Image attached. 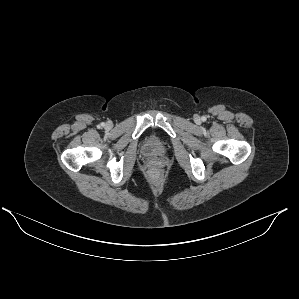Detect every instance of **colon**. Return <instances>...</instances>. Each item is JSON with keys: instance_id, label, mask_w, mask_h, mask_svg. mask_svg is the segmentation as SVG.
Returning a JSON list of instances; mask_svg holds the SVG:
<instances>
[{"instance_id": "obj_1", "label": "colon", "mask_w": 299, "mask_h": 299, "mask_svg": "<svg viewBox=\"0 0 299 299\" xmlns=\"http://www.w3.org/2000/svg\"><path fill=\"white\" fill-rule=\"evenodd\" d=\"M149 176L152 180L156 181L160 179L161 172L157 168H152L149 172Z\"/></svg>"}]
</instances>
